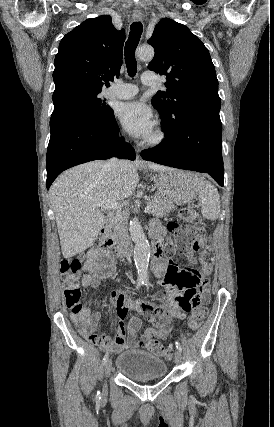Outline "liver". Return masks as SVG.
Returning <instances> with one entry per match:
<instances>
[{
	"instance_id": "1",
	"label": "liver",
	"mask_w": 274,
	"mask_h": 427,
	"mask_svg": "<svg viewBox=\"0 0 274 427\" xmlns=\"http://www.w3.org/2000/svg\"><path fill=\"white\" fill-rule=\"evenodd\" d=\"M120 172L105 168L95 160L63 172L50 188L61 249L64 257L81 253L93 245L103 223L101 202H120L132 196L139 176L136 166L120 160ZM149 170L167 172L171 168L148 164Z\"/></svg>"
}]
</instances>
